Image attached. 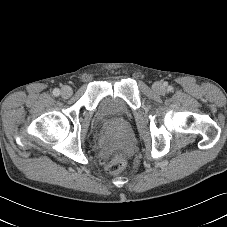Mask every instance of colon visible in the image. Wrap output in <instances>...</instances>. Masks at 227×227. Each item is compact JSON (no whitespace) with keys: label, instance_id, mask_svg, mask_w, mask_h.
Segmentation results:
<instances>
[{"label":"colon","instance_id":"1","mask_svg":"<svg viewBox=\"0 0 227 227\" xmlns=\"http://www.w3.org/2000/svg\"><path fill=\"white\" fill-rule=\"evenodd\" d=\"M125 167V159L121 153H114L107 162L106 172L110 175L120 173Z\"/></svg>","mask_w":227,"mask_h":227}]
</instances>
